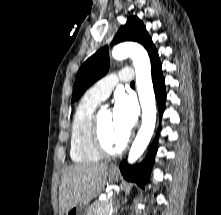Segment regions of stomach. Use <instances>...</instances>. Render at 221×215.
I'll list each match as a JSON object with an SVG mask.
<instances>
[{
  "label": "stomach",
  "instance_id": "1",
  "mask_svg": "<svg viewBox=\"0 0 221 215\" xmlns=\"http://www.w3.org/2000/svg\"><path fill=\"white\" fill-rule=\"evenodd\" d=\"M108 175L111 180H117L119 177V173L116 170H109ZM88 211L89 205L83 203L71 208L66 215H88Z\"/></svg>",
  "mask_w": 221,
  "mask_h": 215
}]
</instances>
